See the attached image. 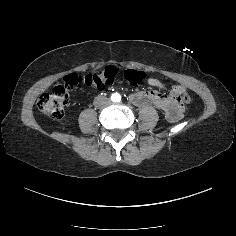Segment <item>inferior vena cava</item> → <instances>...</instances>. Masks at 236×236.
Here are the masks:
<instances>
[{
	"mask_svg": "<svg viewBox=\"0 0 236 236\" xmlns=\"http://www.w3.org/2000/svg\"><path fill=\"white\" fill-rule=\"evenodd\" d=\"M94 102H99V104H101L103 106L104 105L108 106V105H110L111 100L109 98H106V97L102 96V97H97Z\"/></svg>",
	"mask_w": 236,
	"mask_h": 236,
	"instance_id": "inferior-vena-cava-1",
	"label": "inferior vena cava"
}]
</instances>
